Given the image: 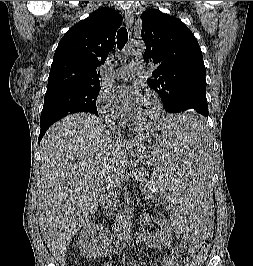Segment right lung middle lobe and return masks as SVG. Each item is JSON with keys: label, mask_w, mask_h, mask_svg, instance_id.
I'll use <instances>...</instances> for the list:
<instances>
[{"label": "right lung middle lobe", "mask_w": 253, "mask_h": 266, "mask_svg": "<svg viewBox=\"0 0 253 266\" xmlns=\"http://www.w3.org/2000/svg\"><path fill=\"white\" fill-rule=\"evenodd\" d=\"M100 84L89 86H68L46 91L40 126L49 127L59 119L77 112L98 115L96 99Z\"/></svg>", "instance_id": "1"}]
</instances>
